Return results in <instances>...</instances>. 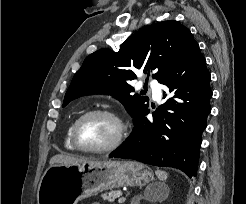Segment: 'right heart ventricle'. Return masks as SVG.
Returning <instances> with one entry per match:
<instances>
[{"instance_id":"obj_1","label":"right heart ventricle","mask_w":246,"mask_h":204,"mask_svg":"<svg viewBox=\"0 0 246 204\" xmlns=\"http://www.w3.org/2000/svg\"><path fill=\"white\" fill-rule=\"evenodd\" d=\"M75 121L71 122L70 125L67 128L66 131V136H65V146L68 149H75L72 140H71V131H72V126L74 124Z\"/></svg>"}]
</instances>
